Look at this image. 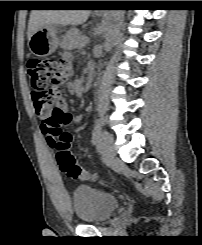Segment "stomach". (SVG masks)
<instances>
[{
    "label": "stomach",
    "instance_id": "1",
    "mask_svg": "<svg viewBox=\"0 0 202 245\" xmlns=\"http://www.w3.org/2000/svg\"><path fill=\"white\" fill-rule=\"evenodd\" d=\"M58 28L56 24H47L37 30L28 41L30 52L38 57L54 53L59 44Z\"/></svg>",
    "mask_w": 202,
    "mask_h": 245
}]
</instances>
